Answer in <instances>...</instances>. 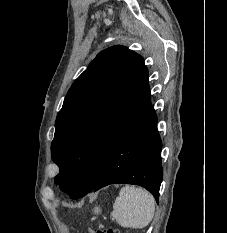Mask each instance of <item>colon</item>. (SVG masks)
Returning <instances> with one entry per match:
<instances>
[{
    "instance_id": "obj_1",
    "label": "colon",
    "mask_w": 227,
    "mask_h": 233,
    "mask_svg": "<svg viewBox=\"0 0 227 233\" xmlns=\"http://www.w3.org/2000/svg\"><path fill=\"white\" fill-rule=\"evenodd\" d=\"M88 233H120L118 230L116 229H95V230H88Z\"/></svg>"
}]
</instances>
